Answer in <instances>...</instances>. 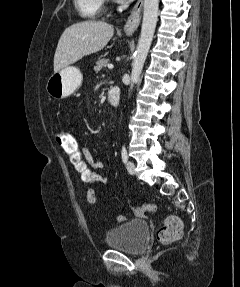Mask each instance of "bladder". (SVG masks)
Segmentation results:
<instances>
[{
  "label": "bladder",
  "instance_id": "1",
  "mask_svg": "<svg viewBox=\"0 0 240 287\" xmlns=\"http://www.w3.org/2000/svg\"><path fill=\"white\" fill-rule=\"evenodd\" d=\"M150 227L145 220L133 219L111 228L105 237V244L128 254L138 255L145 251Z\"/></svg>",
  "mask_w": 240,
  "mask_h": 287
}]
</instances>
